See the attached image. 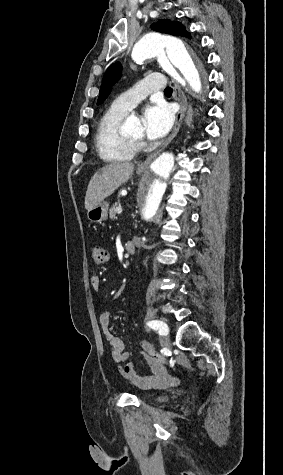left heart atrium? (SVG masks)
Masks as SVG:
<instances>
[{
    "label": "left heart atrium",
    "instance_id": "39dd6f15",
    "mask_svg": "<svg viewBox=\"0 0 283 475\" xmlns=\"http://www.w3.org/2000/svg\"><path fill=\"white\" fill-rule=\"evenodd\" d=\"M173 123V109L165 102H154L143 112V130L148 139L163 138L171 130Z\"/></svg>",
    "mask_w": 283,
    "mask_h": 475
}]
</instances>
